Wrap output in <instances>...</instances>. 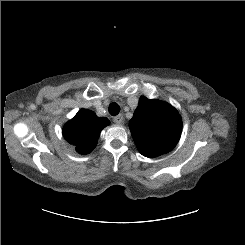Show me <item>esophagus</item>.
Segmentation results:
<instances>
[{
  "mask_svg": "<svg viewBox=\"0 0 245 245\" xmlns=\"http://www.w3.org/2000/svg\"><path fill=\"white\" fill-rule=\"evenodd\" d=\"M113 121H114L115 124L121 125V124L124 123V117H123L122 114H119V115H117V116H115V117L113 118Z\"/></svg>",
  "mask_w": 245,
  "mask_h": 245,
  "instance_id": "obj_1",
  "label": "esophagus"
}]
</instances>
